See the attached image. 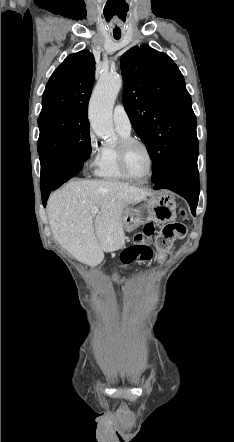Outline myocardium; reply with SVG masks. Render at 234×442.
<instances>
[{
    "mask_svg": "<svg viewBox=\"0 0 234 442\" xmlns=\"http://www.w3.org/2000/svg\"><path fill=\"white\" fill-rule=\"evenodd\" d=\"M134 145L141 146L146 151L148 158H149V174L147 175L146 178H143V179L137 178L134 175H132V173L129 171V168L127 165L128 151ZM117 155H118L119 168H120L121 172L128 179L135 181L137 183L143 184V183H147L152 178V176L154 174V166H155L154 156H153V153H152L150 147L142 140H139L136 138H131V137L121 140L119 142V144L117 145Z\"/></svg>",
    "mask_w": 234,
    "mask_h": 442,
    "instance_id": "1",
    "label": "myocardium"
}]
</instances>
